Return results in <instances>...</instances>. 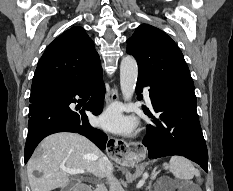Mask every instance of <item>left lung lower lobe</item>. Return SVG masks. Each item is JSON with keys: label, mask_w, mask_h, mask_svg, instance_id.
<instances>
[{"label": "left lung lower lobe", "mask_w": 233, "mask_h": 191, "mask_svg": "<svg viewBox=\"0 0 233 191\" xmlns=\"http://www.w3.org/2000/svg\"><path fill=\"white\" fill-rule=\"evenodd\" d=\"M143 86H150L151 103L158 113L156 118L144 109L145 114L152 118L143 140L149 158L181 155L208 172V152L196 110V96L138 74L136 93H141Z\"/></svg>", "instance_id": "left-lung-lower-lobe-1"}]
</instances>
